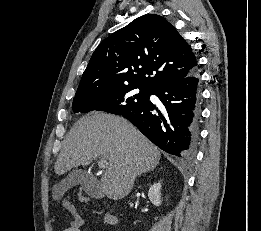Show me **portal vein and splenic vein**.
Masks as SVG:
<instances>
[{
	"instance_id": "1",
	"label": "portal vein and splenic vein",
	"mask_w": 261,
	"mask_h": 231,
	"mask_svg": "<svg viewBox=\"0 0 261 231\" xmlns=\"http://www.w3.org/2000/svg\"><path fill=\"white\" fill-rule=\"evenodd\" d=\"M107 165V161L103 158H101L99 161H98V166L101 167V168H105Z\"/></svg>"
}]
</instances>
